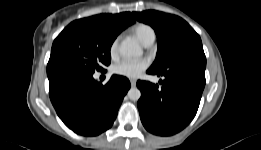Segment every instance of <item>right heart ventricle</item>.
Returning a JSON list of instances; mask_svg holds the SVG:
<instances>
[{
	"mask_svg": "<svg viewBox=\"0 0 261 150\" xmlns=\"http://www.w3.org/2000/svg\"><path fill=\"white\" fill-rule=\"evenodd\" d=\"M133 34L139 39L142 44H145L150 38H155L153 28L145 23H139L132 29Z\"/></svg>",
	"mask_w": 261,
	"mask_h": 150,
	"instance_id": "obj_1",
	"label": "right heart ventricle"
}]
</instances>
